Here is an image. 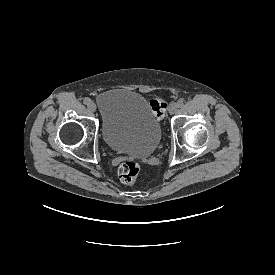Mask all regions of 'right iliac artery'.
<instances>
[{"instance_id":"obj_1","label":"right iliac artery","mask_w":275,"mask_h":275,"mask_svg":"<svg viewBox=\"0 0 275 275\" xmlns=\"http://www.w3.org/2000/svg\"><path fill=\"white\" fill-rule=\"evenodd\" d=\"M83 102H84V104H86L87 106H89L92 101L89 98H84Z\"/></svg>"}]
</instances>
